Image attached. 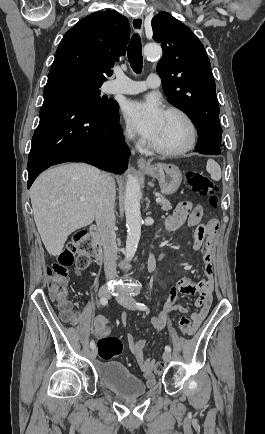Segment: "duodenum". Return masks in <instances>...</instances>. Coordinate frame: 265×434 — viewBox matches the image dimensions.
Wrapping results in <instances>:
<instances>
[{
	"label": "duodenum",
	"instance_id": "410a0bca",
	"mask_svg": "<svg viewBox=\"0 0 265 434\" xmlns=\"http://www.w3.org/2000/svg\"><path fill=\"white\" fill-rule=\"evenodd\" d=\"M89 233L94 246V256L96 260L100 263L103 257V247L100 242L99 230L96 226H92L89 230ZM146 264H147L148 272L152 273L157 264V254L156 253L150 254L147 257Z\"/></svg>",
	"mask_w": 265,
	"mask_h": 434
}]
</instances>
